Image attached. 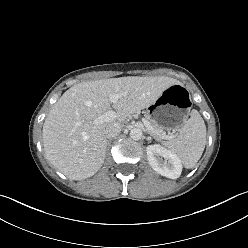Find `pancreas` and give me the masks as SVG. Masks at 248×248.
<instances>
[{
  "label": "pancreas",
  "mask_w": 248,
  "mask_h": 248,
  "mask_svg": "<svg viewBox=\"0 0 248 248\" xmlns=\"http://www.w3.org/2000/svg\"><path fill=\"white\" fill-rule=\"evenodd\" d=\"M151 128H147L149 134L157 139H164L163 136L166 134L164 129L159 127L157 124L149 121Z\"/></svg>",
  "instance_id": "obj_1"
}]
</instances>
